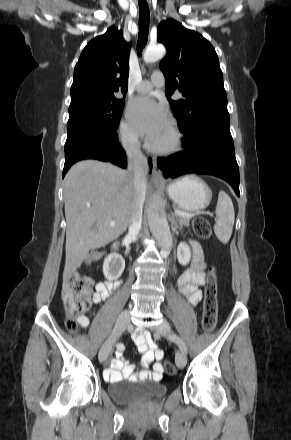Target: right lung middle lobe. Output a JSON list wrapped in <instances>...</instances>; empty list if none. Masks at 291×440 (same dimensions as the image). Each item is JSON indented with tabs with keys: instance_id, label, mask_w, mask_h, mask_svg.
Wrapping results in <instances>:
<instances>
[{
	"instance_id": "right-lung-middle-lobe-1",
	"label": "right lung middle lobe",
	"mask_w": 291,
	"mask_h": 440,
	"mask_svg": "<svg viewBox=\"0 0 291 440\" xmlns=\"http://www.w3.org/2000/svg\"><path fill=\"white\" fill-rule=\"evenodd\" d=\"M124 99L88 97L72 101L69 106L67 130L91 129L100 132L116 131L124 108Z\"/></svg>"
}]
</instances>
